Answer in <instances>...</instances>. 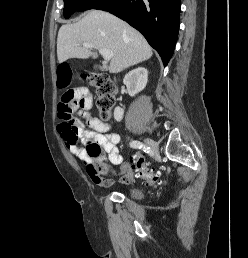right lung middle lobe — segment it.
<instances>
[{
	"mask_svg": "<svg viewBox=\"0 0 248 258\" xmlns=\"http://www.w3.org/2000/svg\"><path fill=\"white\" fill-rule=\"evenodd\" d=\"M108 0H64V17L68 19L76 11L94 9Z\"/></svg>",
	"mask_w": 248,
	"mask_h": 258,
	"instance_id": "obj_1",
	"label": "right lung middle lobe"
}]
</instances>
